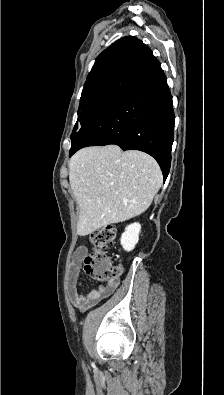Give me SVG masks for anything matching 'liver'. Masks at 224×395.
Returning a JSON list of instances; mask_svg holds the SVG:
<instances>
[{"label":"liver","instance_id":"obj_1","mask_svg":"<svg viewBox=\"0 0 224 395\" xmlns=\"http://www.w3.org/2000/svg\"><path fill=\"white\" fill-rule=\"evenodd\" d=\"M69 180L79 209V236L140 215L163 183L154 158L116 145L79 150L70 159Z\"/></svg>","mask_w":224,"mask_h":395}]
</instances>
